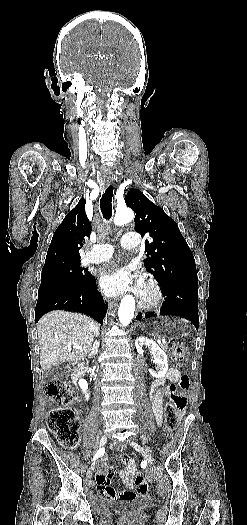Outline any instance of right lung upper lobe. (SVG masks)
<instances>
[{"label": "right lung upper lobe", "instance_id": "right-lung-upper-lobe-1", "mask_svg": "<svg viewBox=\"0 0 247 525\" xmlns=\"http://www.w3.org/2000/svg\"><path fill=\"white\" fill-rule=\"evenodd\" d=\"M85 203V199L81 198L56 229L42 271L80 263L79 249L91 233Z\"/></svg>", "mask_w": 247, "mask_h": 525}]
</instances>
